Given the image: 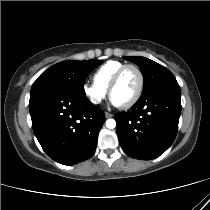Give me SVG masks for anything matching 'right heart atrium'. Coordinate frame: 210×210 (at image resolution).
I'll return each mask as SVG.
<instances>
[{"mask_svg":"<svg viewBox=\"0 0 210 210\" xmlns=\"http://www.w3.org/2000/svg\"><path fill=\"white\" fill-rule=\"evenodd\" d=\"M82 91L86 99L93 105H99L106 97L107 91L95 83L85 82Z\"/></svg>","mask_w":210,"mask_h":210,"instance_id":"obj_1","label":"right heart atrium"}]
</instances>
